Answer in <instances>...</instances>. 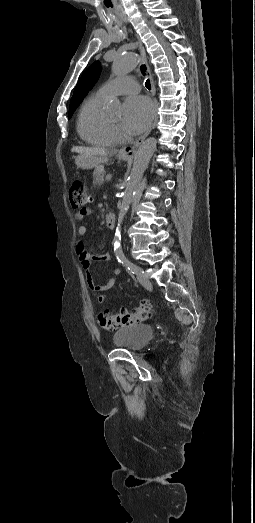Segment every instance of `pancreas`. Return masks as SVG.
Masks as SVG:
<instances>
[{
  "instance_id": "pancreas-1",
  "label": "pancreas",
  "mask_w": 255,
  "mask_h": 523,
  "mask_svg": "<svg viewBox=\"0 0 255 523\" xmlns=\"http://www.w3.org/2000/svg\"><path fill=\"white\" fill-rule=\"evenodd\" d=\"M104 174H106V172H104V170H101V168H96V170H94L93 184H95V186H103L105 182Z\"/></svg>"
}]
</instances>
